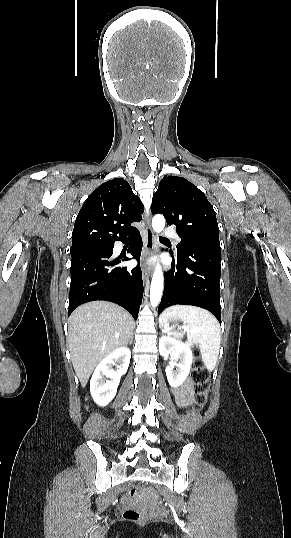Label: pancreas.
Returning a JSON list of instances; mask_svg holds the SVG:
<instances>
[{"mask_svg":"<svg viewBox=\"0 0 291 538\" xmlns=\"http://www.w3.org/2000/svg\"><path fill=\"white\" fill-rule=\"evenodd\" d=\"M173 336L176 337V338H178V339H181V338H182V337L179 336V335H174V334H173Z\"/></svg>","mask_w":291,"mask_h":538,"instance_id":"cf45deb5","label":"pancreas"}]
</instances>
